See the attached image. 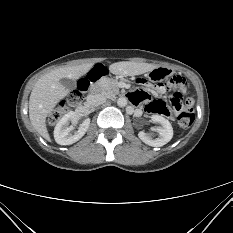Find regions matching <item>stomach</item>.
Returning <instances> with one entry per match:
<instances>
[{"instance_id":"0dacf381","label":"stomach","mask_w":233,"mask_h":233,"mask_svg":"<svg viewBox=\"0 0 233 233\" xmlns=\"http://www.w3.org/2000/svg\"><path fill=\"white\" fill-rule=\"evenodd\" d=\"M170 70L167 68H163V67H157L155 69H153L152 71H150L148 73V77L150 78V80H159L163 77H166L167 75L170 74Z\"/></svg>"}]
</instances>
